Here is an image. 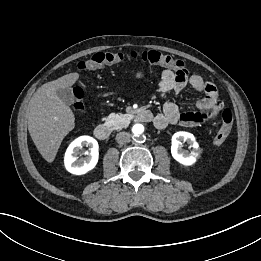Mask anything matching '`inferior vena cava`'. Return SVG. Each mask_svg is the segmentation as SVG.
I'll return each mask as SVG.
<instances>
[{
    "mask_svg": "<svg viewBox=\"0 0 261 261\" xmlns=\"http://www.w3.org/2000/svg\"><path fill=\"white\" fill-rule=\"evenodd\" d=\"M115 139L118 144H125L130 140V134L127 132H120L116 135Z\"/></svg>",
    "mask_w": 261,
    "mask_h": 261,
    "instance_id": "inferior-vena-cava-1",
    "label": "inferior vena cava"
}]
</instances>
